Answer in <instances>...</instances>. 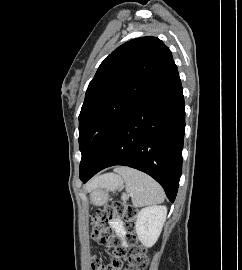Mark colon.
<instances>
[{
	"label": "colon",
	"instance_id": "obj_1",
	"mask_svg": "<svg viewBox=\"0 0 242 270\" xmlns=\"http://www.w3.org/2000/svg\"><path fill=\"white\" fill-rule=\"evenodd\" d=\"M137 210L123 202H113L111 205L101 207L92 218L93 229L91 238L112 250L113 258L109 263H103L94 258L91 263L92 270H123L121 259L128 255L129 263L126 270H145L148 265L146 249L138 244L134 233V221ZM124 221L127 229V241L129 248L125 249L119 244L118 238L112 232L109 222L112 219Z\"/></svg>",
	"mask_w": 242,
	"mask_h": 270
}]
</instances>
